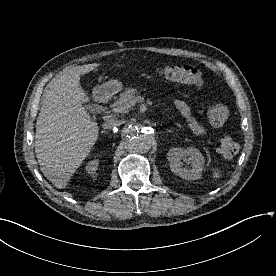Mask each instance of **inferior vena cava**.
Instances as JSON below:
<instances>
[{
	"instance_id": "obj_1",
	"label": "inferior vena cava",
	"mask_w": 276,
	"mask_h": 276,
	"mask_svg": "<svg viewBox=\"0 0 276 276\" xmlns=\"http://www.w3.org/2000/svg\"><path fill=\"white\" fill-rule=\"evenodd\" d=\"M121 122L115 119H107L102 125L104 129H112L114 127L120 126Z\"/></svg>"
}]
</instances>
